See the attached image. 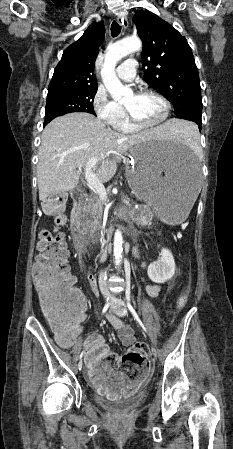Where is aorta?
Wrapping results in <instances>:
<instances>
[{"mask_svg": "<svg viewBox=\"0 0 233 449\" xmlns=\"http://www.w3.org/2000/svg\"><path fill=\"white\" fill-rule=\"evenodd\" d=\"M142 43L139 38L132 36L118 41L111 45L106 53L103 68L101 70L102 81L114 100H121L132 95V90L122 85L115 73L116 63L123 57L133 52L139 51ZM123 237L120 230H116L114 235V257L115 265L119 266L122 258Z\"/></svg>", "mask_w": 233, "mask_h": 449, "instance_id": "aorta-1", "label": "aorta"}]
</instances>
